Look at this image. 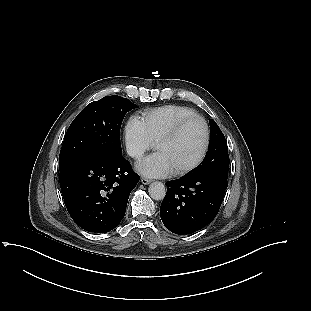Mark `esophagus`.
<instances>
[{"label": "esophagus", "mask_w": 311, "mask_h": 311, "mask_svg": "<svg viewBox=\"0 0 311 311\" xmlns=\"http://www.w3.org/2000/svg\"><path fill=\"white\" fill-rule=\"evenodd\" d=\"M141 183L144 185H147V184L151 183V180L143 177V178H141Z\"/></svg>", "instance_id": "esophagus-1"}]
</instances>
